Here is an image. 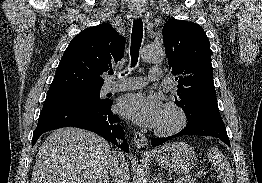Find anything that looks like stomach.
<instances>
[{
  "mask_svg": "<svg viewBox=\"0 0 262 183\" xmlns=\"http://www.w3.org/2000/svg\"><path fill=\"white\" fill-rule=\"evenodd\" d=\"M158 164L170 173L186 174L196 164L194 149L184 142L166 143L154 152Z\"/></svg>",
  "mask_w": 262,
  "mask_h": 183,
  "instance_id": "1",
  "label": "stomach"
}]
</instances>
